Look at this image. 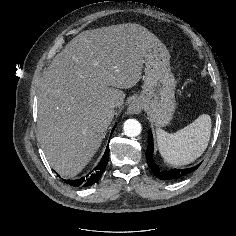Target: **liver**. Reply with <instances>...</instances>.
<instances>
[{"label":"liver","mask_w":236,"mask_h":236,"mask_svg":"<svg viewBox=\"0 0 236 236\" xmlns=\"http://www.w3.org/2000/svg\"><path fill=\"white\" fill-rule=\"evenodd\" d=\"M161 41L139 24L87 30L58 53L38 93V138L51 167L74 177L89 163L125 93L141 79L144 58Z\"/></svg>","instance_id":"1"}]
</instances>
